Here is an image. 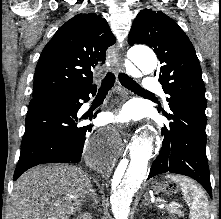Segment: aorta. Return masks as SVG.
Here are the masks:
<instances>
[{
  "mask_svg": "<svg viewBox=\"0 0 221 219\" xmlns=\"http://www.w3.org/2000/svg\"><path fill=\"white\" fill-rule=\"evenodd\" d=\"M127 57L141 71L151 73L157 67V57L146 46H134ZM154 151L153 138L146 135L136 140L130 157L123 159L111 179V210L115 219H128L130 205L147 176L148 163Z\"/></svg>",
  "mask_w": 221,
  "mask_h": 219,
  "instance_id": "obj_1",
  "label": "aorta"
}]
</instances>
